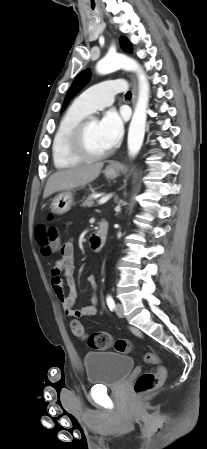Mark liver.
Listing matches in <instances>:
<instances>
[{"label": "liver", "instance_id": "6515ba94", "mask_svg": "<svg viewBox=\"0 0 207 449\" xmlns=\"http://www.w3.org/2000/svg\"><path fill=\"white\" fill-rule=\"evenodd\" d=\"M102 167L103 163H96L55 172L46 183L43 198L45 199L55 192L77 188L95 180Z\"/></svg>", "mask_w": 207, "mask_h": 449}]
</instances>
